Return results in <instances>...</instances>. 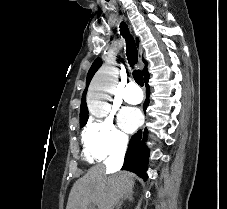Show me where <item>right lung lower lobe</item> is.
Wrapping results in <instances>:
<instances>
[{"label": "right lung lower lobe", "instance_id": "98d812e1", "mask_svg": "<svg viewBox=\"0 0 227 209\" xmlns=\"http://www.w3.org/2000/svg\"><path fill=\"white\" fill-rule=\"evenodd\" d=\"M149 76L144 78L145 83H148ZM149 86L147 85V88ZM149 104L148 98L144 102V111L146 110ZM147 130L145 129L143 134V140L140 142L142 138V131L139 130L136 134H134L129 142L128 150L125 155L124 164L122 170H128L136 173L138 176L147 179L146 175V164L148 161L149 151L144 144L146 139Z\"/></svg>", "mask_w": 227, "mask_h": 209}]
</instances>
